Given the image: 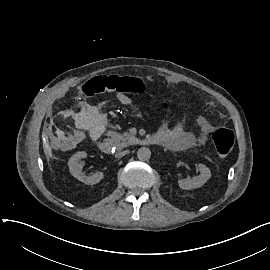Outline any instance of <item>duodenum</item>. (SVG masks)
I'll list each match as a JSON object with an SVG mask.
<instances>
[{
  "mask_svg": "<svg viewBox=\"0 0 270 270\" xmlns=\"http://www.w3.org/2000/svg\"><path fill=\"white\" fill-rule=\"evenodd\" d=\"M141 143L143 145H158L160 144V139L156 134H153L151 136H148L141 140ZM99 149L103 153H110L112 150V142L109 139H104L99 143Z\"/></svg>",
  "mask_w": 270,
  "mask_h": 270,
  "instance_id": "obj_1",
  "label": "duodenum"
}]
</instances>
